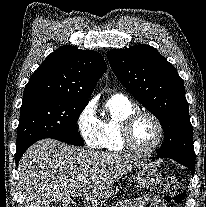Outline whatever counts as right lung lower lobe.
<instances>
[{
    "label": "right lung lower lobe",
    "instance_id": "1",
    "mask_svg": "<svg viewBox=\"0 0 206 207\" xmlns=\"http://www.w3.org/2000/svg\"><path fill=\"white\" fill-rule=\"evenodd\" d=\"M26 151V149L23 150H16V154H15V159H16V165L18 164L21 156L23 155V153Z\"/></svg>",
    "mask_w": 206,
    "mask_h": 207
}]
</instances>
